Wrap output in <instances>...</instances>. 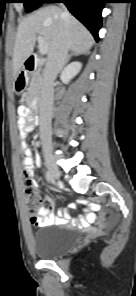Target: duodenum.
<instances>
[{
  "label": "duodenum",
  "mask_w": 136,
  "mask_h": 296,
  "mask_svg": "<svg viewBox=\"0 0 136 296\" xmlns=\"http://www.w3.org/2000/svg\"><path fill=\"white\" fill-rule=\"evenodd\" d=\"M42 63V58L40 56H29L26 58L24 65L26 72L30 73L37 69L38 66H40ZM18 82L25 83V76L24 74H21L18 78ZM35 124H38V119H35Z\"/></svg>",
  "instance_id": "obj_1"
}]
</instances>
